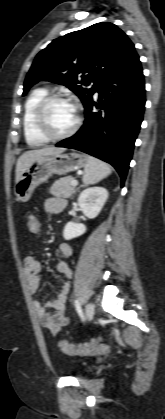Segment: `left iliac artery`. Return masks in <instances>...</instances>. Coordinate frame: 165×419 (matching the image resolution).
I'll return each instance as SVG.
<instances>
[{
	"mask_svg": "<svg viewBox=\"0 0 165 419\" xmlns=\"http://www.w3.org/2000/svg\"><path fill=\"white\" fill-rule=\"evenodd\" d=\"M75 307H76V310H77V312H78L81 320L83 321L84 320V315H83V312H82V309H81V305H80V302H79L78 299L75 300Z\"/></svg>",
	"mask_w": 165,
	"mask_h": 419,
	"instance_id": "obj_1",
	"label": "left iliac artery"
}]
</instances>
